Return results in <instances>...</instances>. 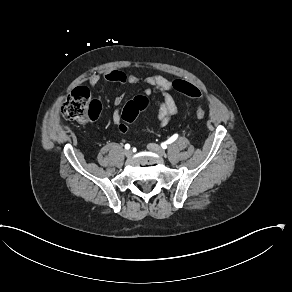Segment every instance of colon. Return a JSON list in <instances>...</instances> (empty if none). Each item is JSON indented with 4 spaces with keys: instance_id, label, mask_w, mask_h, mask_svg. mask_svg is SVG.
I'll list each match as a JSON object with an SVG mask.
<instances>
[{
    "instance_id": "1",
    "label": "colon",
    "mask_w": 292,
    "mask_h": 292,
    "mask_svg": "<svg viewBox=\"0 0 292 292\" xmlns=\"http://www.w3.org/2000/svg\"><path fill=\"white\" fill-rule=\"evenodd\" d=\"M175 91L185 94L194 99H200L199 90L192 84L177 80L173 83ZM149 105L147 96L138 95L128 100L122 108V120L127 125H131L140 112L144 111ZM101 111V104L92 100L89 91L84 87L73 89L67 97L64 105V115L81 124L88 123L91 119L96 118ZM206 116L205 109L202 105H198L196 109V117L204 119Z\"/></svg>"
}]
</instances>
